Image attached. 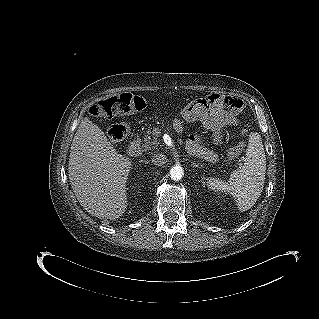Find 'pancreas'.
Masks as SVG:
<instances>
[{
  "instance_id": "pancreas-1",
  "label": "pancreas",
  "mask_w": 319,
  "mask_h": 319,
  "mask_svg": "<svg viewBox=\"0 0 319 319\" xmlns=\"http://www.w3.org/2000/svg\"><path fill=\"white\" fill-rule=\"evenodd\" d=\"M157 144V141L148 133L141 143V147L143 151L148 152L150 150H154L157 147Z\"/></svg>"
}]
</instances>
